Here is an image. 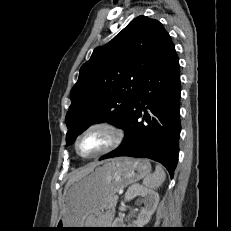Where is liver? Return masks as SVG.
<instances>
[{
    "label": "liver",
    "instance_id": "obj_1",
    "mask_svg": "<svg viewBox=\"0 0 231 231\" xmlns=\"http://www.w3.org/2000/svg\"><path fill=\"white\" fill-rule=\"evenodd\" d=\"M99 163H92V164H89L87 167L85 168H82L78 171H75L71 174L68 182H67V185H66V189L67 187L72 184L74 181H76L77 179H80L82 178L83 176L89 174Z\"/></svg>",
    "mask_w": 231,
    "mask_h": 231
}]
</instances>
